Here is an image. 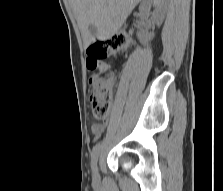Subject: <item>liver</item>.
<instances>
[{
    "label": "liver",
    "mask_w": 223,
    "mask_h": 191,
    "mask_svg": "<svg viewBox=\"0 0 223 191\" xmlns=\"http://www.w3.org/2000/svg\"><path fill=\"white\" fill-rule=\"evenodd\" d=\"M141 0H71L73 12L86 47L96 38L105 40L116 34ZM89 25L96 27L95 35Z\"/></svg>",
    "instance_id": "1"
}]
</instances>
